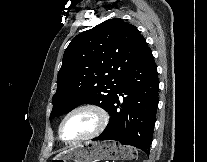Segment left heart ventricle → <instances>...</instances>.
<instances>
[{"label":"left heart ventricle","mask_w":207,"mask_h":162,"mask_svg":"<svg viewBox=\"0 0 207 162\" xmlns=\"http://www.w3.org/2000/svg\"><path fill=\"white\" fill-rule=\"evenodd\" d=\"M98 125L97 115L92 111H81L71 116L64 124L63 137L74 140L91 133Z\"/></svg>","instance_id":"b2bd125f"}]
</instances>
